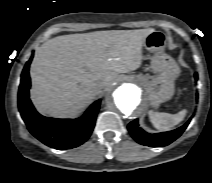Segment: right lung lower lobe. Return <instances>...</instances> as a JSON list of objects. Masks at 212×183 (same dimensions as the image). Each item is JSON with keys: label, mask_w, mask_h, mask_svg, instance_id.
I'll list each match as a JSON object with an SVG mask.
<instances>
[{"label": "right lung lower lobe", "mask_w": 212, "mask_h": 183, "mask_svg": "<svg viewBox=\"0 0 212 183\" xmlns=\"http://www.w3.org/2000/svg\"><path fill=\"white\" fill-rule=\"evenodd\" d=\"M31 60L32 58L23 69L18 92L19 111L28 130L51 148L70 149L81 145L92 133L101 100L95 101L85 114L77 119H54L40 115L29 99Z\"/></svg>", "instance_id": "98d812e1"}]
</instances>
